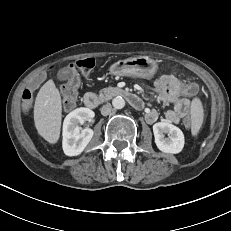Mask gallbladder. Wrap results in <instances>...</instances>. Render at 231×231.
Masks as SVG:
<instances>
[{
    "label": "gallbladder",
    "instance_id": "bac80fb5",
    "mask_svg": "<svg viewBox=\"0 0 231 231\" xmlns=\"http://www.w3.org/2000/svg\"><path fill=\"white\" fill-rule=\"evenodd\" d=\"M67 76V72L66 71H63L61 74H60V78H65Z\"/></svg>",
    "mask_w": 231,
    "mask_h": 231
}]
</instances>
